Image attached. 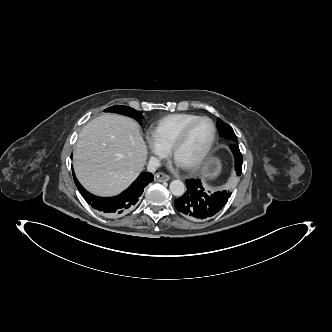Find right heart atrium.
<instances>
[{
	"mask_svg": "<svg viewBox=\"0 0 332 332\" xmlns=\"http://www.w3.org/2000/svg\"><path fill=\"white\" fill-rule=\"evenodd\" d=\"M145 140L152 161L163 159L168 155L169 149L162 145L151 132L146 134Z\"/></svg>",
	"mask_w": 332,
	"mask_h": 332,
	"instance_id": "1",
	"label": "right heart atrium"
}]
</instances>
